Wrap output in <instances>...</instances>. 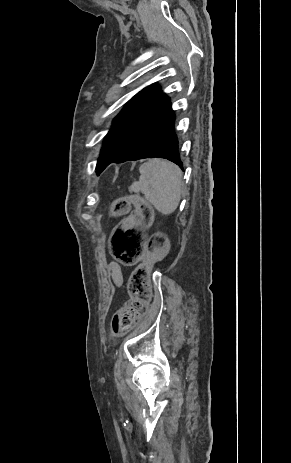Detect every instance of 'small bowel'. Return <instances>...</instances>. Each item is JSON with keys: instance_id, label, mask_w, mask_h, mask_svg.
I'll use <instances>...</instances> for the list:
<instances>
[{"instance_id": "c3829d8e", "label": "small bowel", "mask_w": 291, "mask_h": 463, "mask_svg": "<svg viewBox=\"0 0 291 463\" xmlns=\"http://www.w3.org/2000/svg\"><path fill=\"white\" fill-rule=\"evenodd\" d=\"M112 282L116 287H121L123 284V274L119 264L110 263L108 267Z\"/></svg>"}]
</instances>
